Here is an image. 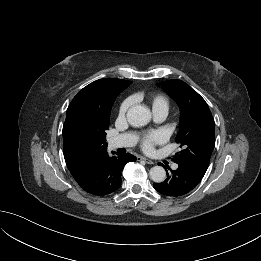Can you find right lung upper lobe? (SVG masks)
Here are the masks:
<instances>
[{"label":"right lung upper lobe","mask_w":261,"mask_h":261,"mask_svg":"<svg viewBox=\"0 0 261 261\" xmlns=\"http://www.w3.org/2000/svg\"><path fill=\"white\" fill-rule=\"evenodd\" d=\"M131 83L122 79H100L80 90L71 101L62 132L64 158L71 174L107 150V147L94 149L86 145L80 132L108 115L116 97Z\"/></svg>","instance_id":"1"}]
</instances>
